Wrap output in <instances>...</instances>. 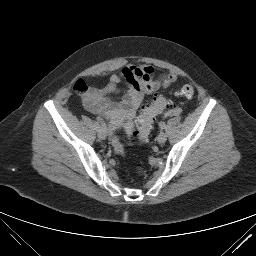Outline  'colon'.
<instances>
[{"label": "colon", "instance_id": "colon-1", "mask_svg": "<svg viewBox=\"0 0 256 256\" xmlns=\"http://www.w3.org/2000/svg\"><path fill=\"white\" fill-rule=\"evenodd\" d=\"M74 89L79 93H84L87 90V86L82 80H79L76 82ZM176 94L180 97L190 98L194 94V88L189 84H185ZM171 104V101L164 96L156 97L152 102L146 104L137 119V132L134 137L140 142L146 141L155 118L168 109ZM111 143L117 154L124 155L125 149L119 136L113 137Z\"/></svg>", "mask_w": 256, "mask_h": 256}]
</instances>
